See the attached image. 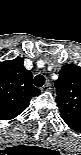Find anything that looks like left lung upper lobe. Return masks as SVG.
Here are the masks:
<instances>
[{
    "instance_id": "1",
    "label": "left lung upper lobe",
    "mask_w": 81,
    "mask_h": 155,
    "mask_svg": "<svg viewBox=\"0 0 81 155\" xmlns=\"http://www.w3.org/2000/svg\"><path fill=\"white\" fill-rule=\"evenodd\" d=\"M55 87L61 117L81 122V68L74 64L62 66Z\"/></svg>"
}]
</instances>
